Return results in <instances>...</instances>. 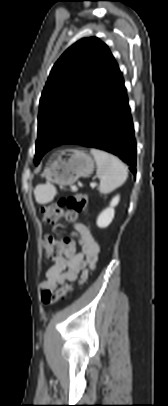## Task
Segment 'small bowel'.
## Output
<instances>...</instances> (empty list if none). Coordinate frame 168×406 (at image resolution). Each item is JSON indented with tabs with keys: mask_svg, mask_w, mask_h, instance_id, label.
Wrapping results in <instances>:
<instances>
[{
	"mask_svg": "<svg viewBox=\"0 0 168 406\" xmlns=\"http://www.w3.org/2000/svg\"><path fill=\"white\" fill-rule=\"evenodd\" d=\"M74 229L73 235L81 245V251H76V243H70L47 270L45 280L40 284L42 289H56L72 282L83 284L89 270L94 269L99 245L85 225L77 223Z\"/></svg>",
	"mask_w": 168,
	"mask_h": 406,
	"instance_id": "obj_1",
	"label": "small bowel"
}]
</instances>
